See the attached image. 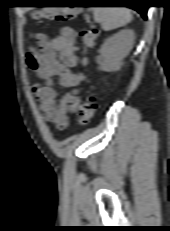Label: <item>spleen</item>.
Returning a JSON list of instances; mask_svg holds the SVG:
<instances>
[{"instance_id": "3e777b00", "label": "spleen", "mask_w": 170, "mask_h": 231, "mask_svg": "<svg viewBox=\"0 0 170 231\" xmlns=\"http://www.w3.org/2000/svg\"><path fill=\"white\" fill-rule=\"evenodd\" d=\"M94 19L104 31H110L128 24L132 15L125 7H93Z\"/></svg>"}]
</instances>
